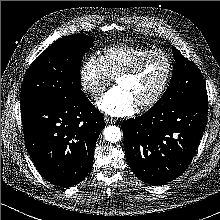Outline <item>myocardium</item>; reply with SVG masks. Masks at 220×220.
Listing matches in <instances>:
<instances>
[{
  "mask_svg": "<svg viewBox=\"0 0 220 220\" xmlns=\"http://www.w3.org/2000/svg\"><path fill=\"white\" fill-rule=\"evenodd\" d=\"M154 56H160L165 60L166 65H167V71H166L165 78L161 86L157 90V92L149 100L138 104V108L141 110H147V109L154 107L156 104L160 102V100L165 95L170 85L172 76H173V61L171 57L163 51L152 50L150 52L145 53L141 57H139L127 69L120 72L116 77V80H118L119 78H123V77H134L141 70L144 63L149 58L154 57Z\"/></svg>",
  "mask_w": 220,
  "mask_h": 220,
  "instance_id": "f54148a6",
  "label": "myocardium"
}]
</instances>
